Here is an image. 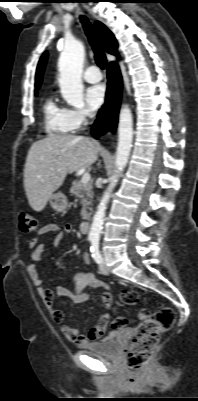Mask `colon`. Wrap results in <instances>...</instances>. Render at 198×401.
Returning <instances> with one entry per match:
<instances>
[{
    "mask_svg": "<svg viewBox=\"0 0 198 401\" xmlns=\"http://www.w3.org/2000/svg\"><path fill=\"white\" fill-rule=\"evenodd\" d=\"M18 223L20 230L25 233H33L37 229L35 216L25 210L19 211ZM120 299L126 305H136L140 296L135 290L124 289L121 291ZM136 319L139 325L127 354V365L133 371L141 370L148 364L161 335L174 325L176 316L170 307H159L153 312L142 308L137 312ZM126 324L127 320L124 317H117L111 322V327L120 329Z\"/></svg>",
    "mask_w": 198,
    "mask_h": 401,
    "instance_id": "5ec220e1",
    "label": "colon"
}]
</instances>
